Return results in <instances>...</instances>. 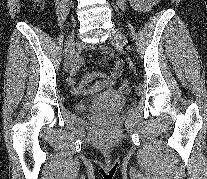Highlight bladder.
<instances>
[{
    "label": "bladder",
    "instance_id": "31cf9c89",
    "mask_svg": "<svg viewBox=\"0 0 207 179\" xmlns=\"http://www.w3.org/2000/svg\"><path fill=\"white\" fill-rule=\"evenodd\" d=\"M76 109L79 111V112H86L88 110V104L86 102H77L76 103Z\"/></svg>",
    "mask_w": 207,
    "mask_h": 179
}]
</instances>
